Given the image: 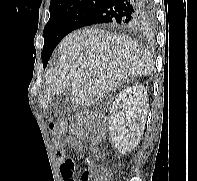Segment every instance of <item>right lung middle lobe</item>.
<instances>
[{
	"label": "right lung middle lobe",
	"mask_w": 197,
	"mask_h": 181,
	"mask_svg": "<svg viewBox=\"0 0 197 181\" xmlns=\"http://www.w3.org/2000/svg\"><path fill=\"white\" fill-rule=\"evenodd\" d=\"M99 4H84L67 10L50 13V19L43 30L44 46L42 51L43 67L58 43L77 28L80 21L92 12Z\"/></svg>",
	"instance_id": "dd1d6c3e"
}]
</instances>
